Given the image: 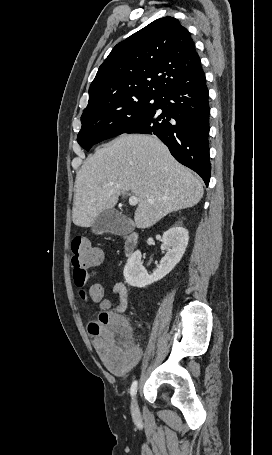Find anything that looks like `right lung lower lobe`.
<instances>
[{
	"label": "right lung lower lobe",
	"instance_id": "1",
	"mask_svg": "<svg viewBox=\"0 0 272 455\" xmlns=\"http://www.w3.org/2000/svg\"><path fill=\"white\" fill-rule=\"evenodd\" d=\"M209 103L205 74L165 92L156 109L125 133L156 135L181 164L210 180Z\"/></svg>",
	"mask_w": 272,
	"mask_h": 455
}]
</instances>
